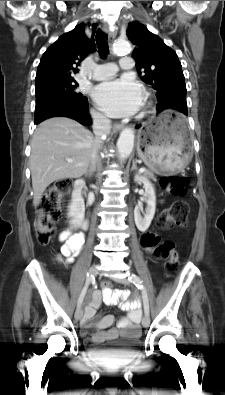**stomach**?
<instances>
[{
	"mask_svg": "<svg viewBox=\"0 0 225 395\" xmlns=\"http://www.w3.org/2000/svg\"><path fill=\"white\" fill-rule=\"evenodd\" d=\"M137 152L156 173H177L190 162L189 132L181 114L166 110L139 130Z\"/></svg>",
	"mask_w": 225,
	"mask_h": 395,
	"instance_id": "stomach-1",
	"label": "stomach"
}]
</instances>
